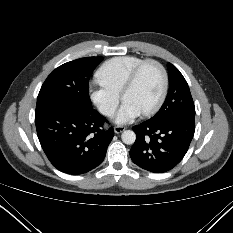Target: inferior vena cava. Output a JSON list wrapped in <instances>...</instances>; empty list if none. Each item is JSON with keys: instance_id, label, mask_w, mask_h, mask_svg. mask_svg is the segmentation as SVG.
Wrapping results in <instances>:
<instances>
[{"instance_id": "obj_1", "label": "inferior vena cava", "mask_w": 233, "mask_h": 233, "mask_svg": "<svg viewBox=\"0 0 233 233\" xmlns=\"http://www.w3.org/2000/svg\"><path fill=\"white\" fill-rule=\"evenodd\" d=\"M99 110L102 114L106 116H112L115 112V109L110 106H100Z\"/></svg>"}]
</instances>
